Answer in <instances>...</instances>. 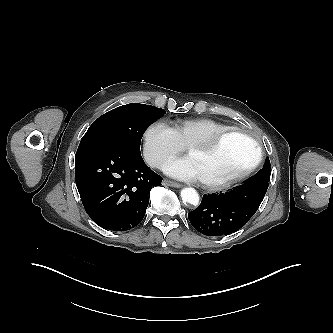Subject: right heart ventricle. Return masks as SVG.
I'll return each instance as SVG.
<instances>
[{
    "mask_svg": "<svg viewBox=\"0 0 333 333\" xmlns=\"http://www.w3.org/2000/svg\"><path fill=\"white\" fill-rule=\"evenodd\" d=\"M230 128L229 125L210 118L177 120L172 126V129L184 147H187L194 141L211 137Z\"/></svg>",
    "mask_w": 333,
    "mask_h": 333,
    "instance_id": "e07e8e85",
    "label": "right heart ventricle"
}]
</instances>
